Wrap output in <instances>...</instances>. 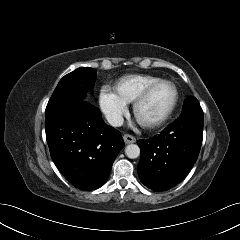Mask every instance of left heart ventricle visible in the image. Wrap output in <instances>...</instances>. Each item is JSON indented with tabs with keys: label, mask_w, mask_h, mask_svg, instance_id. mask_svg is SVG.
<instances>
[{
	"label": "left heart ventricle",
	"mask_w": 240,
	"mask_h": 240,
	"mask_svg": "<svg viewBox=\"0 0 240 240\" xmlns=\"http://www.w3.org/2000/svg\"><path fill=\"white\" fill-rule=\"evenodd\" d=\"M175 92L173 87L164 85L156 89L140 106L139 115L145 120H154L163 115L171 106Z\"/></svg>",
	"instance_id": "b2bd125f"
}]
</instances>
